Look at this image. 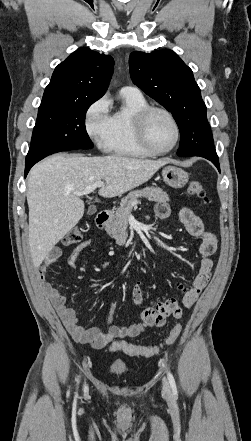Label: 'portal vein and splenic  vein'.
Returning <instances> with one entry per match:
<instances>
[{"mask_svg": "<svg viewBox=\"0 0 251 441\" xmlns=\"http://www.w3.org/2000/svg\"><path fill=\"white\" fill-rule=\"evenodd\" d=\"M104 186H105V184H104L103 181H98V182L94 183L93 185L86 187V188H85L84 190H82V191L74 192V195H76V196L87 195V194L93 192L96 188H98V187H104ZM138 203H139V201H135V202H132V205H133V206H136Z\"/></svg>", "mask_w": 251, "mask_h": 441, "instance_id": "18ae733b", "label": "portal vein and splenic vein"}]
</instances>
